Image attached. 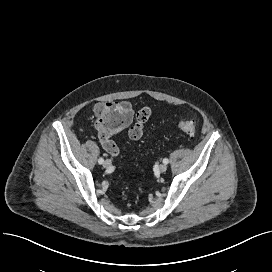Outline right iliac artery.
Returning <instances> with one entry per match:
<instances>
[{
  "label": "right iliac artery",
  "mask_w": 272,
  "mask_h": 272,
  "mask_svg": "<svg viewBox=\"0 0 272 272\" xmlns=\"http://www.w3.org/2000/svg\"><path fill=\"white\" fill-rule=\"evenodd\" d=\"M103 162H104V159H103V158H99V159H98V163H99V164H103Z\"/></svg>",
  "instance_id": "obj_1"
}]
</instances>
